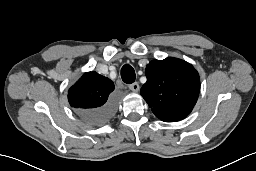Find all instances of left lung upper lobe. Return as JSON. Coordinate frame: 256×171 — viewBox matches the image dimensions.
Segmentation results:
<instances>
[{"instance_id": "1", "label": "left lung upper lobe", "mask_w": 256, "mask_h": 171, "mask_svg": "<svg viewBox=\"0 0 256 171\" xmlns=\"http://www.w3.org/2000/svg\"><path fill=\"white\" fill-rule=\"evenodd\" d=\"M145 74L140 92L155 116L176 122L190 114L200 91L199 74L191 64L177 58L153 60Z\"/></svg>"}]
</instances>
